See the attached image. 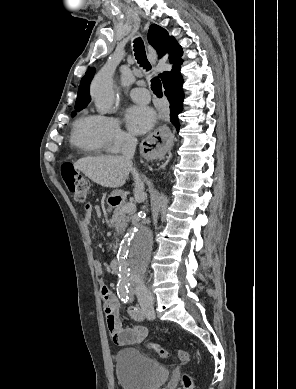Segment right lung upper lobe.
I'll return each instance as SVG.
<instances>
[{"instance_id":"right-lung-upper-lobe-1","label":"right lung upper lobe","mask_w":296,"mask_h":389,"mask_svg":"<svg viewBox=\"0 0 296 389\" xmlns=\"http://www.w3.org/2000/svg\"><path fill=\"white\" fill-rule=\"evenodd\" d=\"M148 40L149 43L157 50L159 57L169 53L170 58L174 63L170 72L165 71L159 75L163 84L171 77L180 75V65L182 64L180 57L182 56V48L176 40L172 36H169L165 29L156 24L150 26L148 31ZM93 75L94 68H91L81 79L75 109L79 107H86L90 102L89 85Z\"/></svg>"}]
</instances>
